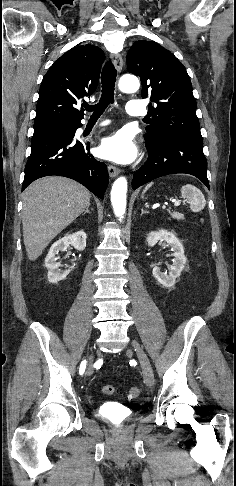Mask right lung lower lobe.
<instances>
[{"mask_svg": "<svg viewBox=\"0 0 236 486\" xmlns=\"http://www.w3.org/2000/svg\"><path fill=\"white\" fill-rule=\"evenodd\" d=\"M60 124L65 127L33 135L22 191L38 178L59 175L78 181L103 199L108 185L107 167L87 152L89 144L74 140L75 131L82 126L81 120Z\"/></svg>", "mask_w": 236, "mask_h": 486, "instance_id": "1", "label": "right lung lower lobe"}]
</instances>
